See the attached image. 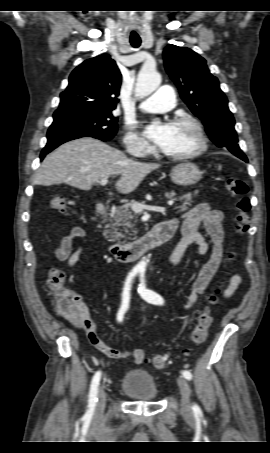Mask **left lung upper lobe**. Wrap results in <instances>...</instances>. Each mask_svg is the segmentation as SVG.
<instances>
[{
  "label": "left lung upper lobe",
  "instance_id": "5c2ea615",
  "mask_svg": "<svg viewBox=\"0 0 270 453\" xmlns=\"http://www.w3.org/2000/svg\"><path fill=\"white\" fill-rule=\"evenodd\" d=\"M165 69L177 85L181 98L205 125L210 139L234 155L243 154L237 142L235 120L228 101L205 59L193 50L168 45L163 52Z\"/></svg>",
  "mask_w": 270,
  "mask_h": 453
}]
</instances>
